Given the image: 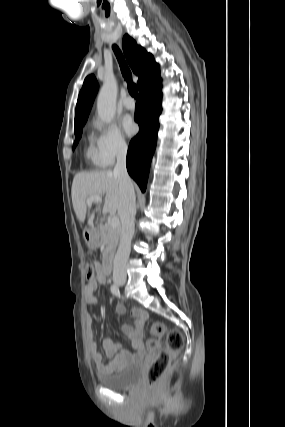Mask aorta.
Returning <instances> with one entry per match:
<instances>
[{"instance_id": "1", "label": "aorta", "mask_w": 285, "mask_h": 427, "mask_svg": "<svg viewBox=\"0 0 285 427\" xmlns=\"http://www.w3.org/2000/svg\"><path fill=\"white\" fill-rule=\"evenodd\" d=\"M118 86L114 77H107L97 98L98 117L105 123H110L116 113Z\"/></svg>"}]
</instances>
